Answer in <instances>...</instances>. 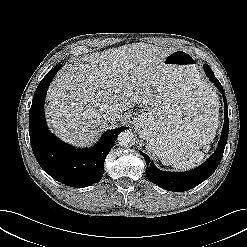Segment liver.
<instances>
[{
  "mask_svg": "<svg viewBox=\"0 0 247 247\" xmlns=\"http://www.w3.org/2000/svg\"><path fill=\"white\" fill-rule=\"evenodd\" d=\"M175 49L133 43L83 56L64 66L46 97L48 123L64 141L76 146L93 143L134 105H151L166 82L163 61ZM114 108L120 118L105 120ZM218 120L216 121L217 127Z\"/></svg>",
  "mask_w": 247,
  "mask_h": 247,
  "instance_id": "1",
  "label": "liver"
}]
</instances>
